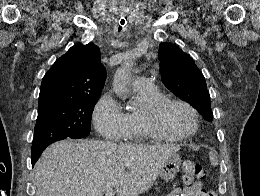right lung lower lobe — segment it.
<instances>
[{
  "label": "right lung lower lobe",
  "instance_id": "1",
  "mask_svg": "<svg viewBox=\"0 0 260 196\" xmlns=\"http://www.w3.org/2000/svg\"><path fill=\"white\" fill-rule=\"evenodd\" d=\"M44 149H39V150H33L32 151V165H34V163L38 160V158L40 157L42 151Z\"/></svg>",
  "mask_w": 260,
  "mask_h": 196
}]
</instances>
